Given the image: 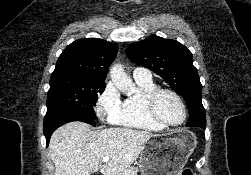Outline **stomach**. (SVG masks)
I'll list each match as a JSON object with an SVG mask.
<instances>
[{
    "mask_svg": "<svg viewBox=\"0 0 251 175\" xmlns=\"http://www.w3.org/2000/svg\"><path fill=\"white\" fill-rule=\"evenodd\" d=\"M171 135H152L144 143L137 163L141 175H179L198 141L186 127Z\"/></svg>",
    "mask_w": 251,
    "mask_h": 175,
    "instance_id": "0dacf381",
    "label": "stomach"
}]
</instances>
